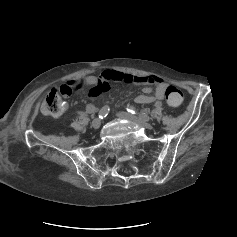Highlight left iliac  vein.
<instances>
[{
	"mask_svg": "<svg viewBox=\"0 0 237 237\" xmlns=\"http://www.w3.org/2000/svg\"><path fill=\"white\" fill-rule=\"evenodd\" d=\"M117 116L119 118L126 119L130 122L138 124L139 126L145 128V129H151L153 127L152 124L146 123V122L142 121L141 119L137 118L136 116H133V115L126 113V112H118Z\"/></svg>",
	"mask_w": 237,
	"mask_h": 237,
	"instance_id": "left-iliac-vein-1",
	"label": "left iliac vein"
}]
</instances>
